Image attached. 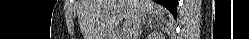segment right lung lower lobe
<instances>
[{
	"mask_svg": "<svg viewBox=\"0 0 249 39\" xmlns=\"http://www.w3.org/2000/svg\"><path fill=\"white\" fill-rule=\"evenodd\" d=\"M155 1L166 7L174 16H176L178 0H155Z\"/></svg>",
	"mask_w": 249,
	"mask_h": 39,
	"instance_id": "obj_1",
	"label": "right lung lower lobe"
}]
</instances>
